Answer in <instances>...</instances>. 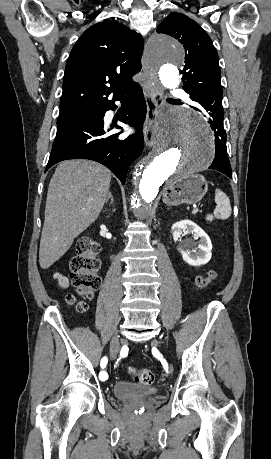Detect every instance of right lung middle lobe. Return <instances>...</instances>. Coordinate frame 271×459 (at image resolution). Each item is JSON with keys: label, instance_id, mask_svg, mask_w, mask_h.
Returning <instances> with one entry per match:
<instances>
[{"label": "right lung middle lobe", "instance_id": "1", "mask_svg": "<svg viewBox=\"0 0 271 459\" xmlns=\"http://www.w3.org/2000/svg\"><path fill=\"white\" fill-rule=\"evenodd\" d=\"M103 109L101 105H89L76 110L62 111L59 113L57 125L64 124L80 118L97 117Z\"/></svg>", "mask_w": 271, "mask_h": 459}]
</instances>
